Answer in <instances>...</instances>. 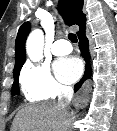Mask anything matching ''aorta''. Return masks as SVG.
Returning a JSON list of instances; mask_svg holds the SVG:
<instances>
[{"instance_id": "1", "label": "aorta", "mask_w": 117, "mask_h": 131, "mask_svg": "<svg viewBox=\"0 0 117 131\" xmlns=\"http://www.w3.org/2000/svg\"><path fill=\"white\" fill-rule=\"evenodd\" d=\"M44 36L40 29L33 30L26 41V53L28 57L38 62L43 58Z\"/></svg>"}]
</instances>
